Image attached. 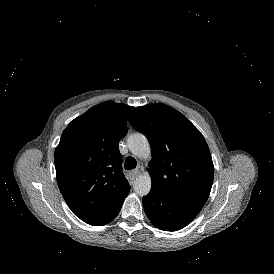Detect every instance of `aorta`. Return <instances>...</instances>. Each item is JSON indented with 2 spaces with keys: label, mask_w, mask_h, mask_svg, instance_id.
I'll use <instances>...</instances> for the list:
<instances>
[{
  "label": "aorta",
  "mask_w": 274,
  "mask_h": 274,
  "mask_svg": "<svg viewBox=\"0 0 274 274\" xmlns=\"http://www.w3.org/2000/svg\"><path fill=\"white\" fill-rule=\"evenodd\" d=\"M129 150L138 158L151 157V149L146 137L140 133L132 134L127 139ZM134 192L139 196H146L151 190V177L149 173L139 175L133 183Z\"/></svg>",
  "instance_id": "1"
}]
</instances>
